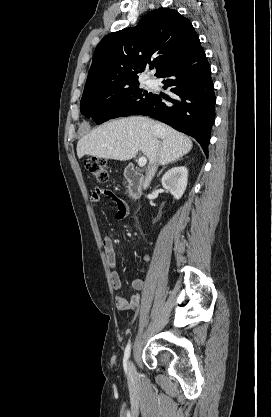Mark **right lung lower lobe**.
Segmentation results:
<instances>
[{
  "label": "right lung lower lobe",
  "instance_id": "1",
  "mask_svg": "<svg viewBox=\"0 0 272 417\" xmlns=\"http://www.w3.org/2000/svg\"><path fill=\"white\" fill-rule=\"evenodd\" d=\"M158 78H164L162 83L165 89L170 88V96L153 94L135 114L153 117L194 137L208 155L216 97L210 66L200 43Z\"/></svg>",
  "mask_w": 272,
  "mask_h": 417
}]
</instances>
